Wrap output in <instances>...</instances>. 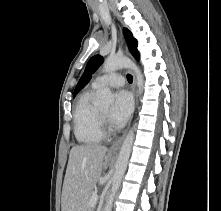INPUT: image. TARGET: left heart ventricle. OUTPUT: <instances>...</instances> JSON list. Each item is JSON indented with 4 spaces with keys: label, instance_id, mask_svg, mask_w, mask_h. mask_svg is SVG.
<instances>
[{
    "label": "left heart ventricle",
    "instance_id": "obj_1",
    "mask_svg": "<svg viewBox=\"0 0 221 211\" xmlns=\"http://www.w3.org/2000/svg\"><path fill=\"white\" fill-rule=\"evenodd\" d=\"M107 109H102V113L106 114L107 113Z\"/></svg>",
    "mask_w": 221,
    "mask_h": 211
}]
</instances>
